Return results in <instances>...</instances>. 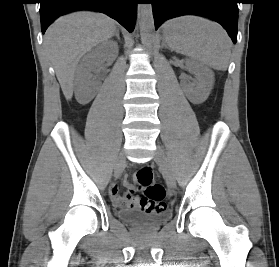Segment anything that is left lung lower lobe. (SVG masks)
Wrapping results in <instances>:
<instances>
[{
  "label": "left lung lower lobe",
  "mask_w": 279,
  "mask_h": 267,
  "mask_svg": "<svg viewBox=\"0 0 279 267\" xmlns=\"http://www.w3.org/2000/svg\"><path fill=\"white\" fill-rule=\"evenodd\" d=\"M155 28L165 20L194 14L211 18L220 23L232 41L237 40L238 7L237 0H151Z\"/></svg>",
  "instance_id": "obj_1"
}]
</instances>
